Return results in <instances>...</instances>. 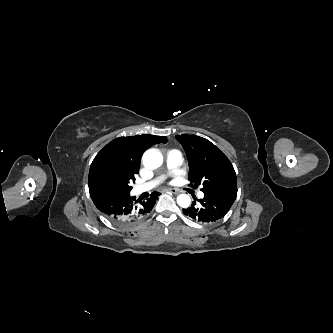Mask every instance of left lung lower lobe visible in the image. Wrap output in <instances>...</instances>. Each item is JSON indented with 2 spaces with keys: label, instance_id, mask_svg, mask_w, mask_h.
Returning <instances> with one entry per match:
<instances>
[{
  "label": "left lung lower lobe",
  "instance_id": "left-lung-lower-lobe-1",
  "mask_svg": "<svg viewBox=\"0 0 333 333\" xmlns=\"http://www.w3.org/2000/svg\"><path fill=\"white\" fill-rule=\"evenodd\" d=\"M198 202L199 204H196L194 201L189 208L183 209V213L200 222H215L221 219L233 204L231 200L211 195H204Z\"/></svg>",
  "mask_w": 333,
  "mask_h": 333
}]
</instances>
